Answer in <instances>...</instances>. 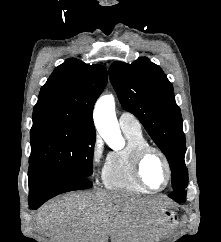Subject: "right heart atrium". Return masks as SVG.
Masks as SVG:
<instances>
[{"mask_svg":"<svg viewBox=\"0 0 221 242\" xmlns=\"http://www.w3.org/2000/svg\"><path fill=\"white\" fill-rule=\"evenodd\" d=\"M103 152V142L99 136H95L90 146V163L94 171L102 164Z\"/></svg>","mask_w":221,"mask_h":242,"instance_id":"1","label":"right heart atrium"}]
</instances>
